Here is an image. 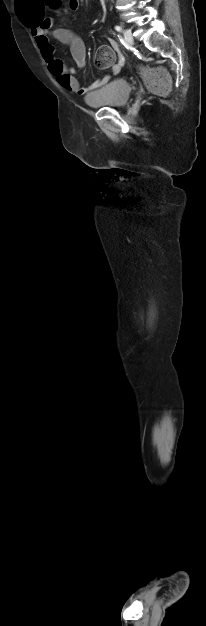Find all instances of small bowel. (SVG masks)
Instances as JSON below:
<instances>
[{
    "label": "small bowel",
    "instance_id": "small-bowel-1",
    "mask_svg": "<svg viewBox=\"0 0 206 626\" xmlns=\"http://www.w3.org/2000/svg\"><path fill=\"white\" fill-rule=\"evenodd\" d=\"M68 5L70 10H76L79 7V0H69ZM29 20L32 21L33 24H27V26L31 28L32 35L43 59L48 65L49 71L65 90L78 95H83L89 91L102 87L108 82L110 75H105L89 87H81L78 80L74 76V70L61 59L55 57V51L52 43L50 42V37H53L61 43L70 46L72 58L79 68H84L86 65V47L83 40L70 29H54L53 19L50 17H43V15L39 12L34 13L31 17H29ZM110 46L118 58V64L112 69V74H117L124 63V58L120 53L116 42L112 41Z\"/></svg>",
    "mask_w": 206,
    "mask_h": 626
}]
</instances>
